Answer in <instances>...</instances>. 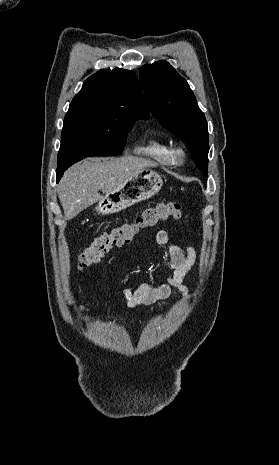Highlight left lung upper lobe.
Here are the masks:
<instances>
[{"label":"left lung upper lobe","instance_id":"left-lung-upper-lobe-1","mask_svg":"<svg viewBox=\"0 0 279 465\" xmlns=\"http://www.w3.org/2000/svg\"><path fill=\"white\" fill-rule=\"evenodd\" d=\"M140 81L152 114L186 144L197 167L207 175L208 127L188 83L166 61L144 65Z\"/></svg>","mask_w":279,"mask_h":465}]
</instances>
